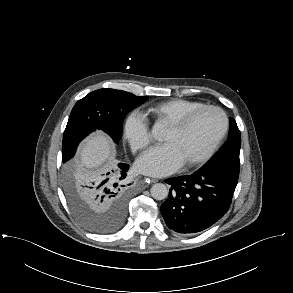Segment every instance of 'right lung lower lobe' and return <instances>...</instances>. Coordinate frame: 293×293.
Segmentation results:
<instances>
[{
  "label": "right lung lower lobe",
  "instance_id": "1",
  "mask_svg": "<svg viewBox=\"0 0 293 293\" xmlns=\"http://www.w3.org/2000/svg\"><path fill=\"white\" fill-rule=\"evenodd\" d=\"M128 169V164L119 163L117 170L113 169L83 184L81 194L84 203L102 214L121 218L123 223L127 213L128 186H130L125 179Z\"/></svg>",
  "mask_w": 293,
  "mask_h": 293
}]
</instances>
